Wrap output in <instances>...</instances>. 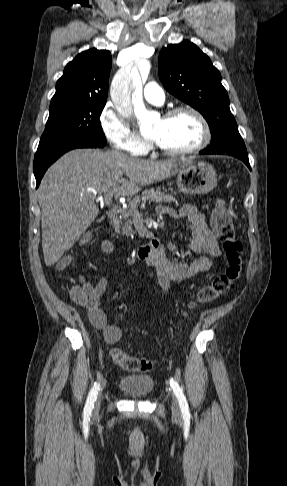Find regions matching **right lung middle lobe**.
Here are the masks:
<instances>
[{
	"mask_svg": "<svg viewBox=\"0 0 287 486\" xmlns=\"http://www.w3.org/2000/svg\"><path fill=\"white\" fill-rule=\"evenodd\" d=\"M106 101L85 100L49 109L37 152L75 144L106 145L99 117Z\"/></svg>",
	"mask_w": 287,
	"mask_h": 486,
	"instance_id": "obj_1",
	"label": "right lung middle lobe"
}]
</instances>
